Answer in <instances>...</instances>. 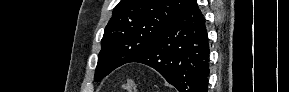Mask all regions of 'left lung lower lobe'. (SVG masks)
<instances>
[{
    "label": "left lung lower lobe",
    "mask_w": 289,
    "mask_h": 92,
    "mask_svg": "<svg viewBox=\"0 0 289 92\" xmlns=\"http://www.w3.org/2000/svg\"><path fill=\"white\" fill-rule=\"evenodd\" d=\"M130 62L154 68L179 92H207L209 43L196 0H191L153 44Z\"/></svg>",
    "instance_id": "obj_1"
}]
</instances>
